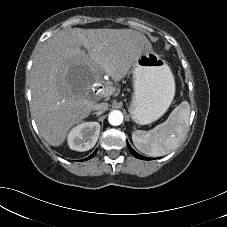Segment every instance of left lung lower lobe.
<instances>
[{"label": "left lung lower lobe", "instance_id": "1", "mask_svg": "<svg viewBox=\"0 0 227 227\" xmlns=\"http://www.w3.org/2000/svg\"><path fill=\"white\" fill-rule=\"evenodd\" d=\"M127 146L130 150V152L138 159H142V160H151L150 158H147V157H144V156H141L140 154H138L137 152H135L131 146L129 145V143L127 142Z\"/></svg>", "mask_w": 227, "mask_h": 227}]
</instances>
